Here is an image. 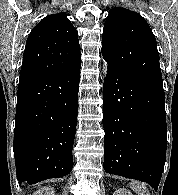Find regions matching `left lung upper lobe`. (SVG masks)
Listing matches in <instances>:
<instances>
[{
	"label": "left lung upper lobe",
	"mask_w": 178,
	"mask_h": 195,
	"mask_svg": "<svg viewBox=\"0 0 178 195\" xmlns=\"http://www.w3.org/2000/svg\"><path fill=\"white\" fill-rule=\"evenodd\" d=\"M102 55L108 63L163 86L155 36L138 13L120 7L110 10Z\"/></svg>",
	"instance_id": "1"
}]
</instances>
